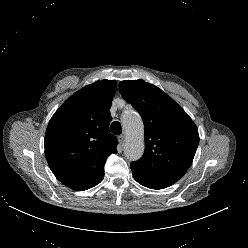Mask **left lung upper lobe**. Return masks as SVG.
Segmentation results:
<instances>
[{
	"mask_svg": "<svg viewBox=\"0 0 248 248\" xmlns=\"http://www.w3.org/2000/svg\"><path fill=\"white\" fill-rule=\"evenodd\" d=\"M123 98L140 113L145 151L130 167L135 180L151 189L177 182L191 165L199 144L189 115L161 89L139 79L119 83Z\"/></svg>",
	"mask_w": 248,
	"mask_h": 248,
	"instance_id": "1",
	"label": "left lung upper lobe"
}]
</instances>
